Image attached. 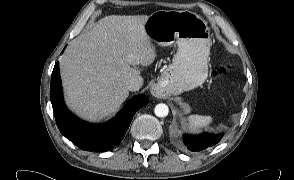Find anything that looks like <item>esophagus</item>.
<instances>
[{
	"mask_svg": "<svg viewBox=\"0 0 294 180\" xmlns=\"http://www.w3.org/2000/svg\"><path fill=\"white\" fill-rule=\"evenodd\" d=\"M150 92H151V95L154 96L155 98H162V92H161V88L159 85L154 84L150 88Z\"/></svg>",
	"mask_w": 294,
	"mask_h": 180,
	"instance_id": "obj_1",
	"label": "esophagus"
}]
</instances>
